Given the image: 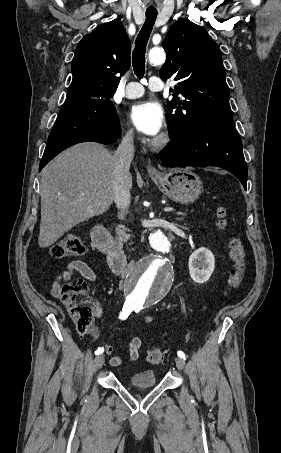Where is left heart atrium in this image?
<instances>
[{
  "label": "left heart atrium",
  "mask_w": 281,
  "mask_h": 453,
  "mask_svg": "<svg viewBox=\"0 0 281 453\" xmlns=\"http://www.w3.org/2000/svg\"><path fill=\"white\" fill-rule=\"evenodd\" d=\"M132 124L143 134L156 136L164 124V112L160 105L153 101H140L128 111Z\"/></svg>",
  "instance_id": "obj_1"
}]
</instances>
